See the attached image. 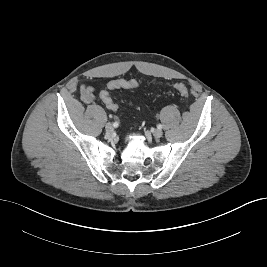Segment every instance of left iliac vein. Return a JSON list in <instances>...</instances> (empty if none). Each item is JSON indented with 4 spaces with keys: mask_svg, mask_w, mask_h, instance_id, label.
Instances as JSON below:
<instances>
[{
    "mask_svg": "<svg viewBox=\"0 0 267 267\" xmlns=\"http://www.w3.org/2000/svg\"><path fill=\"white\" fill-rule=\"evenodd\" d=\"M162 134H163V132H162L160 129H155V130L153 131V136H154L155 138H160V137L162 136Z\"/></svg>",
    "mask_w": 267,
    "mask_h": 267,
    "instance_id": "obj_1",
    "label": "left iliac vein"
}]
</instances>
